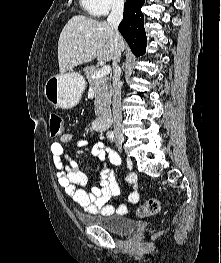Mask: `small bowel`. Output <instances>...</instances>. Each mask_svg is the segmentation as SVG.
I'll return each mask as SVG.
<instances>
[{"mask_svg":"<svg viewBox=\"0 0 221 263\" xmlns=\"http://www.w3.org/2000/svg\"><path fill=\"white\" fill-rule=\"evenodd\" d=\"M75 137L76 134L73 132L65 133L58 141H54L50 145L59 185L73 201L88 213L125 214L127 212L125 204L114 206L109 202L112 197L120 194V188L114 172L109 169L108 164L119 166L121 164L120 156L116 152L107 149L102 143H92L87 138H79L75 141V147L90 146L92 154L102 163L99 186H95L89 192H86L82 187L87 183V175L77 169L76 160L64 148V145H71ZM125 182L131 187L129 202L137 204L140 196L136 174L128 173Z\"/></svg>","mask_w":221,"mask_h":263,"instance_id":"c3829d8e","label":"small bowel"}]
</instances>
